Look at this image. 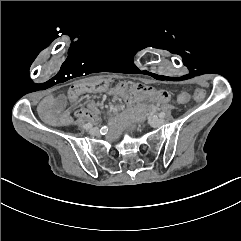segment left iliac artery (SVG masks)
<instances>
[{"mask_svg": "<svg viewBox=\"0 0 241 241\" xmlns=\"http://www.w3.org/2000/svg\"><path fill=\"white\" fill-rule=\"evenodd\" d=\"M159 117L160 118H164L165 117V113L164 112L159 113Z\"/></svg>", "mask_w": 241, "mask_h": 241, "instance_id": "1", "label": "left iliac artery"}]
</instances>
